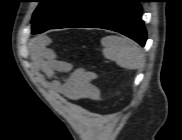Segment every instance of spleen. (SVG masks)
<instances>
[{"instance_id": "obj_1", "label": "spleen", "mask_w": 182, "mask_h": 140, "mask_svg": "<svg viewBox=\"0 0 182 140\" xmlns=\"http://www.w3.org/2000/svg\"><path fill=\"white\" fill-rule=\"evenodd\" d=\"M103 54L122 68L139 69L144 66L145 56L136 42L127 38L109 35L101 40Z\"/></svg>"}]
</instances>
